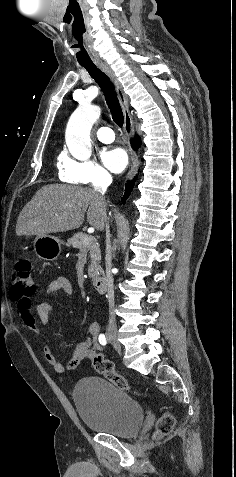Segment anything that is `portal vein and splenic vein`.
I'll return each instance as SVG.
<instances>
[{
    "instance_id": "1",
    "label": "portal vein and splenic vein",
    "mask_w": 236,
    "mask_h": 477,
    "mask_svg": "<svg viewBox=\"0 0 236 477\" xmlns=\"http://www.w3.org/2000/svg\"><path fill=\"white\" fill-rule=\"evenodd\" d=\"M92 240H94V237L93 236H88L84 239L83 243L85 245L89 244Z\"/></svg>"
}]
</instances>
